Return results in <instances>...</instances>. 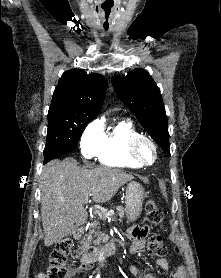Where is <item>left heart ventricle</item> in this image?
Instances as JSON below:
<instances>
[{
    "mask_svg": "<svg viewBox=\"0 0 221 278\" xmlns=\"http://www.w3.org/2000/svg\"><path fill=\"white\" fill-rule=\"evenodd\" d=\"M139 153L141 157L146 161H152L154 158V150L150 144L143 142L140 145Z\"/></svg>",
    "mask_w": 221,
    "mask_h": 278,
    "instance_id": "b2bd125f",
    "label": "left heart ventricle"
}]
</instances>
